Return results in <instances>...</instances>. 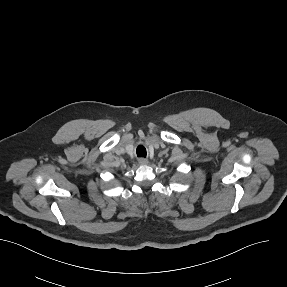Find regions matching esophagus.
I'll list each match as a JSON object with an SVG mask.
<instances>
[{
	"label": "esophagus",
	"mask_w": 287,
	"mask_h": 287,
	"mask_svg": "<svg viewBox=\"0 0 287 287\" xmlns=\"http://www.w3.org/2000/svg\"><path fill=\"white\" fill-rule=\"evenodd\" d=\"M138 162L141 165H147L149 163L148 159H146V158H139Z\"/></svg>",
	"instance_id": "34e87169"
}]
</instances>
